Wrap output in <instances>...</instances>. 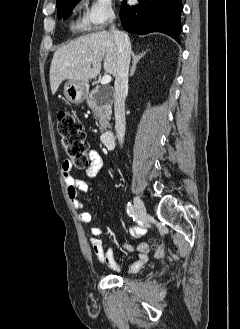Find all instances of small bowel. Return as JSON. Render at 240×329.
<instances>
[{
	"mask_svg": "<svg viewBox=\"0 0 240 329\" xmlns=\"http://www.w3.org/2000/svg\"><path fill=\"white\" fill-rule=\"evenodd\" d=\"M88 159L89 165L85 168L84 173L86 177L94 178L100 172L103 165V161L96 150H90L88 152ZM60 173L65 183L66 193L69 200L71 201L72 206L75 209L81 211L78 215L80 222L83 224L90 223L92 221V215L89 211L85 210L87 206L78 199V195L80 192H86L88 190V184L85 181L75 179L72 176L71 161L69 160L63 161L60 167ZM141 232V229L134 228L131 229L130 234L133 237H137ZM90 233V244L99 262L107 266L114 272H120V267L114 257V251L109 247H105L102 241L99 239V236L103 233V229L100 227H92ZM122 247L127 251H137L139 253L138 257L129 268V271L131 273L139 272L149 261V245L147 243H139L136 246H132L128 243H123Z\"/></svg>",
	"mask_w": 240,
	"mask_h": 329,
	"instance_id": "1",
	"label": "small bowel"
}]
</instances>
